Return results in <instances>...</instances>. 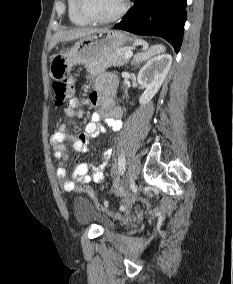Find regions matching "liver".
I'll list each match as a JSON object with an SVG mask.
<instances>
[{
	"mask_svg": "<svg viewBox=\"0 0 233 284\" xmlns=\"http://www.w3.org/2000/svg\"><path fill=\"white\" fill-rule=\"evenodd\" d=\"M102 30L103 29L76 28V29H70V30L57 31L51 39V42L48 47V51L52 50L59 42H67V41H72V40H76L79 38L87 37V36L93 35Z\"/></svg>",
	"mask_w": 233,
	"mask_h": 284,
	"instance_id": "obj_1",
	"label": "liver"
}]
</instances>
